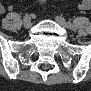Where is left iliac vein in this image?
Listing matches in <instances>:
<instances>
[{
	"instance_id": "left-iliac-vein-1",
	"label": "left iliac vein",
	"mask_w": 91,
	"mask_h": 91,
	"mask_svg": "<svg viewBox=\"0 0 91 91\" xmlns=\"http://www.w3.org/2000/svg\"><path fill=\"white\" fill-rule=\"evenodd\" d=\"M55 20H56V22L58 23V24H60V25H62L63 27H65V28H69L68 26H67V22H66V20L63 18V17H61V16H56L55 17Z\"/></svg>"
}]
</instances>
